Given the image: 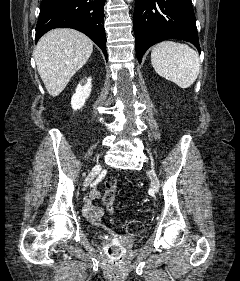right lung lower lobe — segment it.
Here are the masks:
<instances>
[{"mask_svg":"<svg viewBox=\"0 0 240 281\" xmlns=\"http://www.w3.org/2000/svg\"><path fill=\"white\" fill-rule=\"evenodd\" d=\"M106 0H42L36 25V42L54 28H73L86 34L107 57L104 31Z\"/></svg>","mask_w":240,"mask_h":281,"instance_id":"obj_1","label":"right lung lower lobe"}]
</instances>
